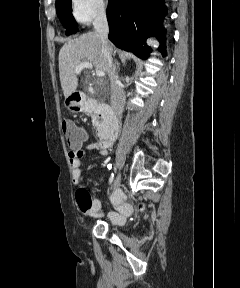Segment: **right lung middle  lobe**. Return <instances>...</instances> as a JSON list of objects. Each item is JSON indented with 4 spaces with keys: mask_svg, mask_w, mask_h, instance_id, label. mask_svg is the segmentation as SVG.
Masks as SVG:
<instances>
[{
    "mask_svg": "<svg viewBox=\"0 0 240 288\" xmlns=\"http://www.w3.org/2000/svg\"><path fill=\"white\" fill-rule=\"evenodd\" d=\"M56 11L63 26L67 28L66 34L76 33V23L71 12V0H56Z\"/></svg>",
    "mask_w": 240,
    "mask_h": 288,
    "instance_id": "right-lung-middle-lobe-1",
    "label": "right lung middle lobe"
}]
</instances>
